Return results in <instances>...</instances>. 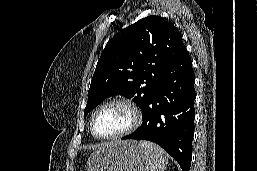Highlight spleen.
Returning <instances> with one entry per match:
<instances>
[{
    "mask_svg": "<svg viewBox=\"0 0 257 171\" xmlns=\"http://www.w3.org/2000/svg\"><path fill=\"white\" fill-rule=\"evenodd\" d=\"M139 143L147 155L145 171H164L169 160L168 154L152 142L140 141Z\"/></svg>",
    "mask_w": 257,
    "mask_h": 171,
    "instance_id": "obj_1",
    "label": "spleen"
}]
</instances>
